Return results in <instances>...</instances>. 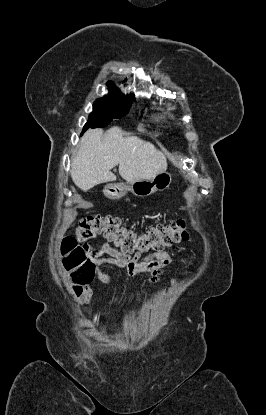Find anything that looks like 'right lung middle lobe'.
<instances>
[{"label":"right lung middle lobe","mask_w":266,"mask_h":415,"mask_svg":"<svg viewBox=\"0 0 266 415\" xmlns=\"http://www.w3.org/2000/svg\"><path fill=\"white\" fill-rule=\"evenodd\" d=\"M133 101L134 97L97 99L93 104V112L89 115V119L83 127V132L89 127L107 126L113 119L125 116Z\"/></svg>","instance_id":"right-lung-middle-lobe-1"}]
</instances>
